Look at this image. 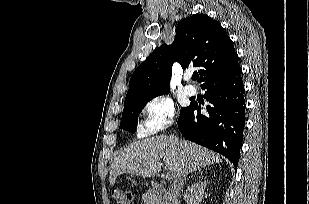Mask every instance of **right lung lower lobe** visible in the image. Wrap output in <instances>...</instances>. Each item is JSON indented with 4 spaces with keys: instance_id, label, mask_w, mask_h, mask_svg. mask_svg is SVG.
<instances>
[{
    "instance_id": "1",
    "label": "right lung lower lobe",
    "mask_w": 309,
    "mask_h": 204,
    "mask_svg": "<svg viewBox=\"0 0 309 204\" xmlns=\"http://www.w3.org/2000/svg\"><path fill=\"white\" fill-rule=\"evenodd\" d=\"M242 69L233 70L205 82V98L210 102L203 115L196 103L190 104L178 122L182 135L228 158L236 168L245 128L244 85Z\"/></svg>"
}]
</instances>
